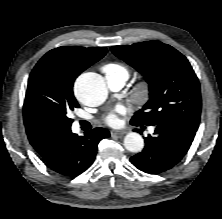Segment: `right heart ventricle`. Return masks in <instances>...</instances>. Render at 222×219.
<instances>
[{
    "label": "right heart ventricle",
    "instance_id": "right-heart-ventricle-1",
    "mask_svg": "<svg viewBox=\"0 0 222 219\" xmlns=\"http://www.w3.org/2000/svg\"><path fill=\"white\" fill-rule=\"evenodd\" d=\"M103 71L106 73V75L119 73L123 74L126 78L129 77L128 69L119 63H108L103 66Z\"/></svg>",
    "mask_w": 222,
    "mask_h": 219
}]
</instances>
